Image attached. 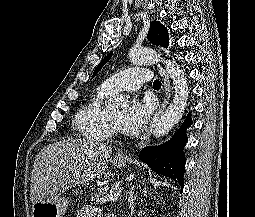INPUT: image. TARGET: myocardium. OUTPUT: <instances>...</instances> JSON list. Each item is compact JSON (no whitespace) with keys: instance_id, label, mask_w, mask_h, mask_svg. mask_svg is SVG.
Instances as JSON below:
<instances>
[{"instance_id":"1","label":"myocardium","mask_w":255,"mask_h":217,"mask_svg":"<svg viewBox=\"0 0 255 217\" xmlns=\"http://www.w3.org/2000/svg\"><path fill=\"white\" fill-rule=\"evenodd\" d=\"M109 126H110L111 133L117 134L119 132V126L113 120L110 114H109Z\"/></svg>"}]
</instances>
